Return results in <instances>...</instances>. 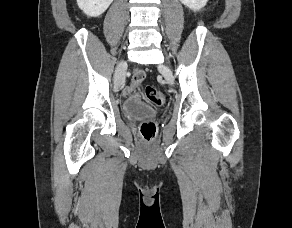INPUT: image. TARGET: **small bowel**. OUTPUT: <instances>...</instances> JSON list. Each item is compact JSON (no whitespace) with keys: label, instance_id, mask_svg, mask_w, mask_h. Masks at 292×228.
<instances>
[{"label":"small bowel","instance_id":"small-bowel-1","mask_svg":"<svg viewBox=\"0 0 292 228\" xmlns=\"http://www.w3.org/2000/svg\"><path fill=\"white\" fill-rule=\"evenodd\" d=\"M145 72L142 69H136L133 72L132 78H131V82L129 83V85L125 86L122 90V94L125 97H132V100H136L138 101V95H135V91L138 88V86L140 85V83L145 79Z\"/></svg>","mask_w":292,"mask_h":228}]
</instances>
